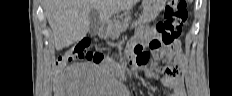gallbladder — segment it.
<instances>
[{"label":"gallbladder","mask_w":232,"mask_h":96,"mask_svg":"<svg viewBox=\"0 0 232 96\" xmlns=\"http://www.w3.org/2000/svg\"><path fill=\"white\" fill-rule=\"evenodd\" d=\"M89 22V33L91 35L98 34L101 28V20L98 11L95 8H92L89 13Z\"/></svg>","instance_id":"1"}]
</instances>
